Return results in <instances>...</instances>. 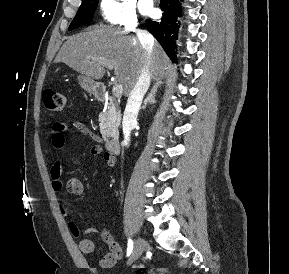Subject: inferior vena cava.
Listing matches in <instances>:
<instances>
[{
    "label": "inferior vena cava",
    "mask_w": 289,
    "mask_h": 274,
    "mask_svg": "<svg viewBox=\"0 0 289 274\" xmlns=\"http://www.w3.org/2000/svg\"><path fill=\"white\" fill-rule=\"evenodd\" d=\"M136 34L142 48L144 49L149 59L153 52V45H154L153 37L146 31L139 29L136 30ZM150 81H151V74L148 68L146 67L142 69L138 81L136 82L134 88L132 89L129 95L122 122L124 134L123 144L125 146L129 145L132 126L135 125L137 122V116L142 104V100L150 86Z\"/></svg>",
    "instance_id": "602c4592"
}]
</instances>
